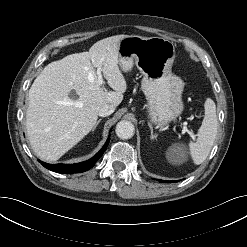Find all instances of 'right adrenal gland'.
<instances>
[{
	"label": "right adrenal gland",
	"instance_id": "2a0ac1e0",
	"mask_svg": "<svg viewBox=\"0 0 247 247\" xmlns=\"http://www.w3.org/2000/svg\"><path fill=\"white\" fill-rule=\"evenodd\" d=\"M101 120H102V119H99V120L96 122V124H95V126H94V128H93L92 131H94V130L96 129V127L98 126V124L100 123Z\"/></svg>",
	"mask_w": 247,
	"mask_h": 247
}]
</instances>
